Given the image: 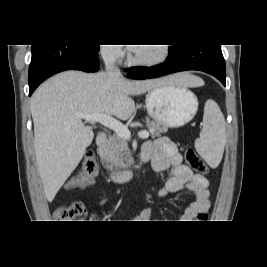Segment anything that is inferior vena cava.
<instances>
[{
  "label": "inferior vena cava",
  "instance_id": "602c4592",
  "mask_svg": "<svg viewBox=\"0 0 267 267\" xmlns=\"http://www.w3.org/2000/svg\"><path fill=\"white\" fill-rule=\"evenodd\" d=\"M105 70L106 74L111 78H120L122 77L120 69L115 65L116 63V54L113 51H109L104 55Z\"/></svg>",
  "mask_w": 267,
  "mask_h": 267
}]
</instances>
